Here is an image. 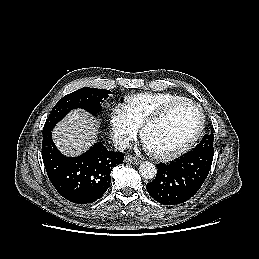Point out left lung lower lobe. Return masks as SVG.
Here are the masks:
<instances>
[{
  "label": "left lung lower lobe",
  "mask_w": 259,
  "mask_h": 259,
  "mask_svg": "<svg viewBox=\"0 0 259 259\" xmlns=\"http://www.w3.org/2000/svg\"><path fill=\"white\" fill-rule=\"evenodd\" d=\"M214 153L192 150L168 164L158 165L148 193L163 205L189 200L202 186L210 171Z\"/></svg>",
  "instance_id": "0a47b994"
}]
</instances>
